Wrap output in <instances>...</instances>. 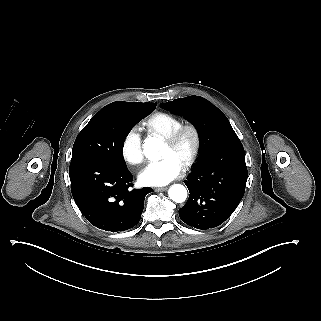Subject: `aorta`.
<instances>
[{
  "instance_id": "762f6f07",
  "label": "aorta",
  "mask_w": 321,
  "mask_h": 321,
  "mask_svg": "<svg viewBox=\"0 0 321 321\" xmlns=\"http://www.w3.org/2000/svg\"><path fill=\"white\" fill-rule=\"evenodd\" d=\"M162 140L150 137L147 138L143 144V152L148 159L157 160L163 148ZM171 200L176 203H182L187 198V190L181 184L172 185L168 191Z\"/></svg>"
}]
</instances>
